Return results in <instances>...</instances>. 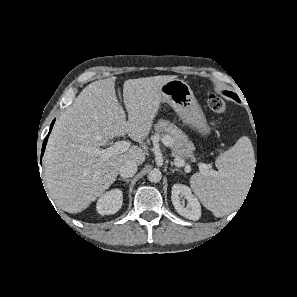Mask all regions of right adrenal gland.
<instances>
[{"instance_id": "obj_1", "label": "right adrenal gland", "mask_w": 297, "mask_h": 297, "mask_svg": "<svg viewBox=\"0 0 297 297\" xmlns=\"http://www.w3.org/2000/svg\"><path fill=\"white\" fill-rule=\"evenodd\" d=\"M118 180L125 181L127 184L130 182V179H125V178H118Z\"/></svg>"}]
</instances>
